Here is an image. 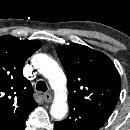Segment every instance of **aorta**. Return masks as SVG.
I'll return each instance as SVG.
<instances>
[{"instance_id": "1", "label": "aorta", "mask_w": 130, "mask_h": 130, "mask_svg": "<svg viewBox=\"0 0 130 130\" xmlns=\"http://www.w3.org/2000/svg\"><path fill=\"white\" fill-rule=\"evenodd\" d=\"M33 66L49 80L50 86L55 91L54 101L50 114L56 120L64 118L68 111L67 104V79L57 62L46 54H35L32 57Z\"/></svg>"}]
</instances>
